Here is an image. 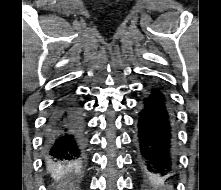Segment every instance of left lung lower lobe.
<instances>
[{
    "instance_id": "0a47b994",
    "label": "left lung lower lobe",
    "mask_w": 221,
    "mask_h": 190,
    "mask_svg": "<svg viewBox=\"0 0 221 190\" xmlns=\"http://www.w3.org/2000/svg\"><path fill=\"white\" fill-rule=\"evenodd\" d=\"M172 119L167 96L157 85L150 86L138 117V162L144 173L167 180L173 177L176 156Z\"/></svg>"
}]
</instances>
